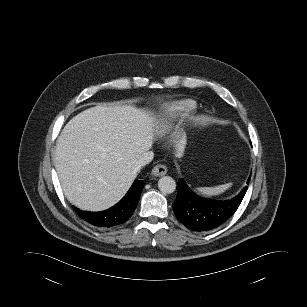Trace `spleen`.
<instances>
[{
    "label": "spleen",
    "instance_id": "spleen-1",
    "mask_svg": "<svg viewBox=\"0 0 307 307\" xmlns=\"http://www.w3.org/2000/svg\"><path fill=\"white\" fill-rule=\"evenodd\" d=\"M230 185L229 184H225V185H220L217 187H207V188H201L198 189L199 192H201L202 194L205 195H216L219 194L223 191H225Z\"/></svg>",
    "mask_w": 307,
    "mask_h": 307
}]
</instances>
